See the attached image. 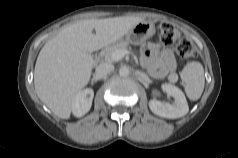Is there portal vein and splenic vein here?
Listing matches in <instances>:
<instances>
[{"mask_svg":"<svg viewBox=\"0 0 238 158\" xmlns=\"http://www.w3.org/2000/svg\"><path fill=\"white\" fill-rule=\"evenodd\" d=\"M126 54H128L127 50H117L112 54V57L115 61L121 60Z\"/></svg>","mask_w":238,"mask_h":158,"instance_id":"portal-vein-and-splenic-vein-1","label":"portal vein and splenic vein"}]
</instances>
